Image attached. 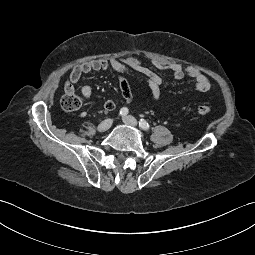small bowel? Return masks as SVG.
I'll return each instance as SVG.
<instances>
[{"label":"small bowel","instance_id":"1","mask_svg":"<svg viewBox=\"0 0 255 255\" xmlns=\"http://www.w3.org/2000/svg\"><path fill=\"white\" fill-rule=\"evenodd\" d=\"M152 64L159 70H167L171 73V77L180 80L185 76H188L194 80L195 87L201 92H207L211 88V82L209 78L201 71L195 68H183L176 63L165 62L162 60H153ZM108 68L114 70L121 77L119 79V88L122 98L126 103L132 101V92L129 82L123 77L125 75H140L147 81L151 96L155 101H158L161 97V87L165 83L166 79L156 74L153 70L145 66L136 57L127 55L120 59L106 60H93L83 64L76 65L65 85V91H74V85L77 84L81 77L90 72L105 71ZM81 93L86 100H89L93 93V88L90 85H84L81 89ZM116 107V102L113 99H109L104 104L106 111H112Z\"/></svg>","mask_w":255,"mask_h":255}]
</instances>
